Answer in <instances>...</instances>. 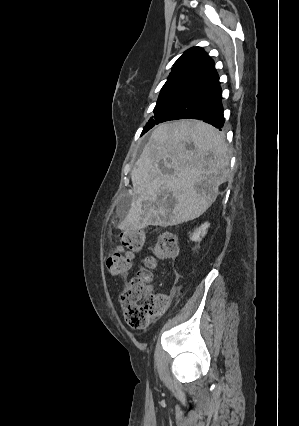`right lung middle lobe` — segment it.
<instances>
[{"instance_id":"obj_1","label":"right lung middle lobe","mask_w":299,"mask_h":426,"mask_svg":"<svg viewBox=\"0 0 299 426\" xmlns=\"http://www.w3.org/2000/svg\"><path fill=\"white\" fill-rule=\"evenodd\" d=\"M195 86L186 84L164 85L161 89L157 104L154 108V116L150 118L143 129L142 134L151 129L162 117V115L179 99L195 89Z\"/></svg>"}]
</instances>
